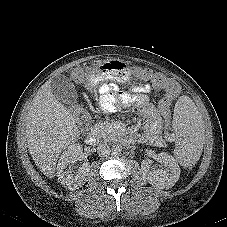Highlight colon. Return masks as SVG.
Here are the masks:
<instances>
[{"instance_id":"1","label":"colon","mask_w":227,"mask_h":227,"mask_svg":"<svg viewBox=\"0 0 227 227\" xmlns=\"http://www.w3.org/2000/svg\"><path fill=\"white\" fill-rule=\"evenodd\" d=\"M85 69L86 67H78L73 69L71 72L72 79L79 83L85 81ZM143 75L147 78L152 79L156 85L162 86L167 90L168 93L163 95L162 101L160 103V112L162 114L163 125L166 127L171 126L173 123V112L171 110V105L173 98L176 97L180 92L179 84L175 80L167 78L165 75L158 72H153L151 70H145L143 72ZM74 114L79 123L82 126L86 127L89 122V113L87 112V110L81 106H77L74 109Z\"/></svg>"}]
</instances>
